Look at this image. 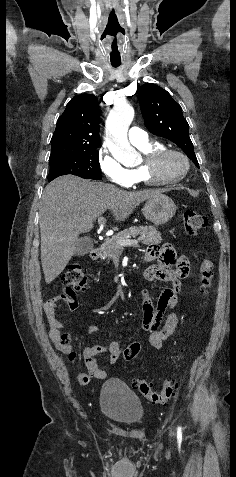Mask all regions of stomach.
I'll return each mask as SVG.
<instances>
[{
	"label": "stomach",
	"instance_id": "stomach-1",
	"mask_svg": "<svg viewBox=\"0 0 236 477\" xmlns=\"http://www.w3.org/2000/svg\"><path fill=\"white\" fill-rule=\"evenodd\" d=\"M144 217L154 225L167 223L176 212L173 200L163 193L147 199L142 208Z\"/></svg>",
	"mask_w": 236,
	"mask_h": 477
}]
</instances>
